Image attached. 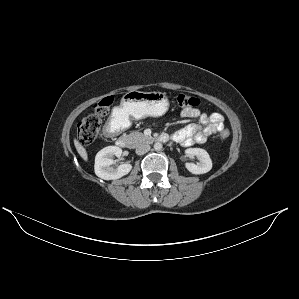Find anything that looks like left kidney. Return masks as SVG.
<instances>
[{
	"instance_id": "left-kidney-1",
	"label": "left kidney",
	"mask_w": 299,
	"mask_h": 299,
	"mask_svg": "<svg viewBox=\"0 0 299 299\" xmlns=\"http://www.w3.org/2000/svg\"><path fill=\"white\" fill-rule=\"evenodd\" d=\"M187 156H196L199 160L198 164L186 163V168L192 174H204L211 170L212 161L208 152L201 148H189L186 149Z\"/></svg>"
}]
</instances>
